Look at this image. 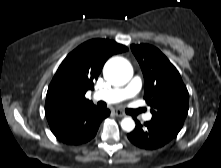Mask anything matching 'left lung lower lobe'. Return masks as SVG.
I'll return each mask as SVG.
<instances>
[{"label":"left lung lower lobe","instance_id":"0a47b994","mask_svg":"<svg viewBox=\"0 0 221 168\" xmlns=\"http://www.w3.org/2000/svg\"><path fill=\"white\" fill-rule=\"evenodd\" d=\"M135 129L127 134L128 139L136 146L144 149L162 147L177 136L178 130L164 123L150 120L140 124L135 119Z\"/></svg>","mask_w":221,"mask_h":168}]
</instances>
